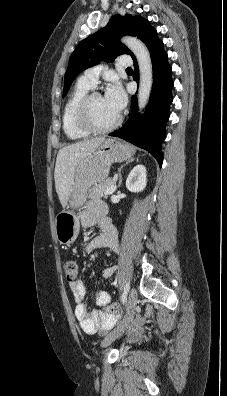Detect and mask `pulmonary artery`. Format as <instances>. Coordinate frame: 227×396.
I'll list each match as a JSON object with an SVG mask.
<instances>
[{
	"mask_svg": "<svg viewBox=\"0 0 227 396\" xmlns=\"http://www.w3.org/2000/svg\"><path fill=\"white\" fill-rule=\"evenodd\" d=\"M118 64L121 67H129L132 65V59L129 56H122L119 59ZM101 70L102 66H94L87 69L81 76L80 81L89 85L90 87H95Z\"/></svg>",
	"mask_w": 227,
	"mask_h": 396,
	"instance_id": "pulmonary-artery-1",
	"label": "pulmonary artery"
}]
</instances>
